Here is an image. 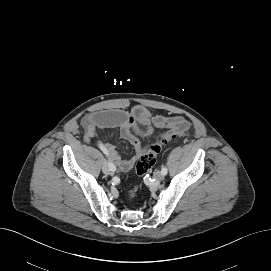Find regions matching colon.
Segmentation results:
<instances>
[{
    "mask_svg": "<svg viewBox=\"0 0 271 271\" xmlns=\"http://www.w3.org/2000/svg\"><path fill=\"white\" fill-rule=\"evenodd\" d=\"M178 135L179 134L174 135L171 138L166 139L165 141L174 139ZM162 145H163L162 141L154 142L149 146L148 150L140 156V158L135 164V172L138 176H142L146 174L153 167V165L156 162V157L162 149ZM136 193H137V187H134L129 193V199H133Z\"/></svg>",
    "mask_w": 271,
    "mask_h": 271,
    "instance_id": "colon-1",
    "label": "colon"
}]
</instances>
